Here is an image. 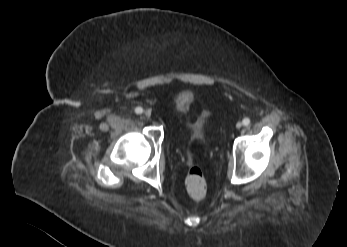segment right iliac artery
I'll return each instance as SVG.
<instances>
[{
    "mask_svg": "<svg viewBox=\"0 0 347 247\" xmlns=\"http://www.w3.org/2000/svg\"><path fill=\"white\" fill-rule=\"evenodd\" d=\"M142 112H143V108L142 107H136L135 108V113L141 114Z\"/></svg>",
    "mask_w": 347,
    "mask_h": 247,
    "instance_id": "right-iliac-artery-1",
    "label": "right iliac artery"
}]
</instances>
